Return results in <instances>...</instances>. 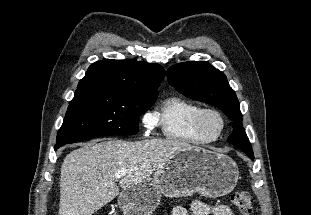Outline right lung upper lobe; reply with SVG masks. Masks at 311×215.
<instances>
[{
	"label": "right lung upper lobe",
	"mask_w": 311,
	"mask_h": 215,
	"mask_svg": "<svg viewBox=\"0 0 311 215\" xmlns=\"http://www.w3.org/2000/svg\"><path fill=\"white\" fill-rule=\"evenodd\" d=\"M165 76L159 64L131 60H102L90 65L77 90L98 89L120 94L152 97Z\"/></svg>",
	"instance_id": "right-lung-upper-lobe-1"
}]
</instances>
